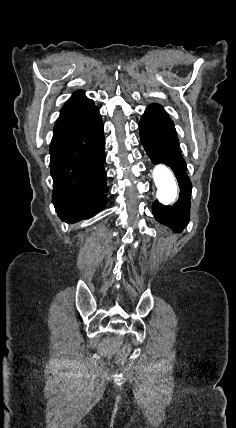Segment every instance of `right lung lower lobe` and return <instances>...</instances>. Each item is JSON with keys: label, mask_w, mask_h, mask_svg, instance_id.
Segmentation results:
<instances>
[{"label": "right lung lower lobe", "mask_w": 236, "mask_h": 428, "mask_svg": "<svg viewBox=\"0 0 236 428\" xmlns=\"http://www.w3.org/2000/svg\"><path fill=\"white\" fill-rule=\"evenodd\" d=\"M104 125L98 108L61 111L50 145L52 202L60 219L73 223L104 209L108 187L103 163Z\"/></svg>", "instance_id": "1"}]
</instances>
